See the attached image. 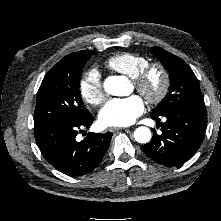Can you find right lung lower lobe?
<instances>
[{"label":"right lung lower lobe","mask_w":221,"mask_h":221,"mask_svg":"<svg viewBox=\"0 0 221 221\" xmlns=\"http://www.w3.org/2000/svg\"><path fill=\"white\" fill-rule=\"evenodd\" d=\"M91 113L79 121L59 122L34 129L36 143L45 159L59 171L81 176L92 171L106 153L112 133H89L78 142L76 135L93 122Z\"/></svg>","instance_id":"obj_1"}]
</instances>
